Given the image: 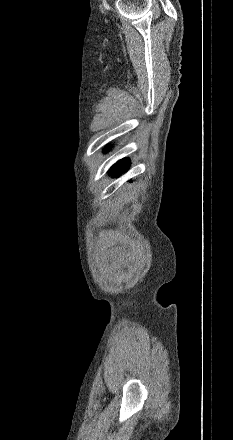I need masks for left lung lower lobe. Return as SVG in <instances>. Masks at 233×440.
I'll list each match as a JSON object with an SVG mask.
<instances>
[{"label": "left lung lower lobe", "instance_id": "1", "mask_svg": "<svg viewBox=\"0 0 233 440\" xmlns=\"http://www.w3.org/2000/svg\"><path fill=\"white\" fill-rule=\"evenodd\" d=\"M129 164L130 162L128 159H122L110 168L109 174L116 176L119 172H125L128 169Z\"/></svg>", "mask_w": 233, "mask_h": 440}]
</instances>
